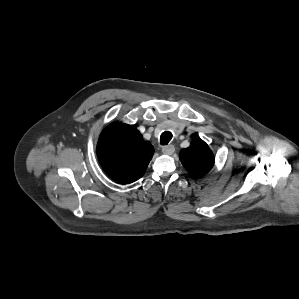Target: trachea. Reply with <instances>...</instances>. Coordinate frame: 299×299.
Returning <instances> with one entry per match:
<instances>
[{
  "instance_id": "1",
  "label": "trachea",
  "mask_w": 299,
  "mask_h": 299,
  "mask_svg": "<svg viewBox=\"0 0 299 299\" xmlns=\"http://www.w3.org/2000/svg\"><path fill=\"white\" fill-rule=\"evenodd\" d=\"M172 139V133L171 132H163L160 136V144L161 145H167L169 141Z\"/></svg>"
}]
</instances>
